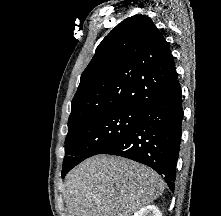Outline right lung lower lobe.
Wrapping results in <instances>:
<instances>
[{
	"label": "right lung lower lobe",
	"instance_id": "1",
	"mask_svg": "<svg viewBox=\"0 0 221 216\" xmlns=\"http://www.w3.org/2000/svg\"><path fill=\"white\" fill-rule=\"evenodd\" d=\"M181 102V87L176 78L141 108L133 130L102 154L126 157L151 167L174 191L183 120Z\"/></svg>",
	"mask_w": 221,
	"mask_h": 216
}]
</instances>
